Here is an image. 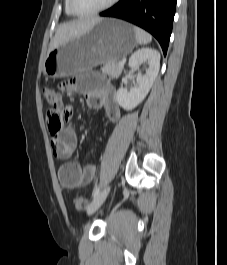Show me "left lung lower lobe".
Here are the masks:
<instances>
[{
	"label": "left lung lower lobe",
	"mask_w": 227,
	"mask_h": 265,
	"mask_svg": "<svg viewBox=\"0 0 227 265\" xmlns=\"http://www.w3.org/2000/svg\"><path fill=\"white\" fill-rule=\"evenodd\" d=\"M177 0H120L100 16L129 21L151 33L167 53Z\"/></svg>",
	"instance_id": "1"
}]
</instances>
